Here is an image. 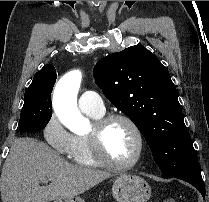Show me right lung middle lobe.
Segmentation results:
<instances>
[{"label":"right lung middle lobe","instance_id":"right-lung-middle-lobe-1","mask_svg":"<svg viewBox=\"0 0 209 202\" xmlns=\"http://www.w3.org/2000/svg\"><path fill=\"white\" fill-rule=\"evenodd\" d=\"M55 78H39L32 81L24 94L19 130L36 132L43 130L52 116L51 92Z\"/></svg>","mask_w":209,"mask_h":202}]
</instances>
